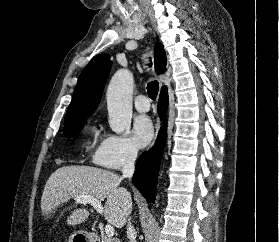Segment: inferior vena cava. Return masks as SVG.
<instances>
[{
    "instance_id": "obj_1",
    "label": "inferior vena cava",
    "mask_w": 279,
    "mask_h": 242,
    "mask_svg": "<svg viewBox=\"0 0 279 242\" xmlns=\"http://www.w3.org/2000/svg\"><path fill=\"white\" fill-rule=\"evenodd\" d=\"M137 157V150L135 148H131L126 156V159L123 163L122 167V174L123 177L131 178L134 173V163ZM127 237L129 239V242H136V231L133 227V225L130 222V219H128V225H127Z\"/></svg>"
}]
</instances>
